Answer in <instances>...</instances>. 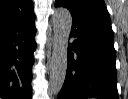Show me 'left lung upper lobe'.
<instances>
[{"label":"left lung upper lobe","mask_w":128,"mask_h":99,"mask_svg":"<svg viewBox=\"0 0 128 99\" xmlns=\"http://www.w3.org/2000/svg\"><path fill=\"white\" fill-rule=\"evenodd\" d=\"M55 5L68 8L73 18L94 20L111 25L104 0H56Z\"/></svg>","instance_id":"left-lung-upper-lobe-1"}]
</instances>
